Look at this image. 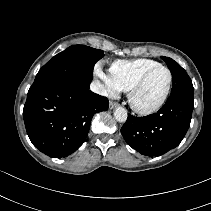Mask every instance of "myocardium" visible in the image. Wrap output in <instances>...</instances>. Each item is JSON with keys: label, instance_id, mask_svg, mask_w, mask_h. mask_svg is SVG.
<instances>
[{"label": "myocardium", "instance_id": "obj_1", "mask_svg": "<svg viewBox=\"0 0 211 211\" xmlns=\"http://www.w3.org/2000/svg\"><path fill=\"white\" fill-rule=\"evenodd\" d=\"M158 69H164L168 73L169 79H168V84H167L166 90H165L162 98L156 104H154L150 107H141L136 103L135 96H136L137 92L142 88V86L144 85V83L146 82V80L150 76V74ZM172 83H173V75H172L171 70L168 67H166L164 65H157L152 68H149L138 78V80L132 85V87L128 91V101H129L131 108L136 113H138L140 115H151V114L156 113L166 103V101L169 97V94L171 92Z\"/></svg>", "mask_w": 211, "mask_h": 211}]
</instances>
